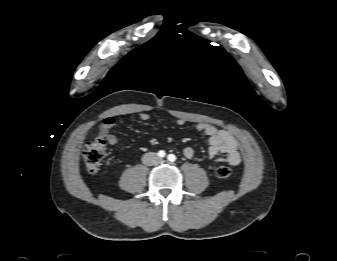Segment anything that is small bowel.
Segmentation results:
<instances>
[{"label":"small bowel","instance_id":"obj_1","mask_svg":"<svg viewBox=\"0 0 337 261\" xmlns=\"http://www.w3.org/2000/svg\"><path fill=\"white\" fill-rule=\"evenodd\" d=\"M139 119L149 121L150 115L148 113H140ZM184 123L185 121L182 119L177 121L178 125H183ZM114 125L115 118L107 116L102 120L99 127V136L110 145H116L118 143V138L111 133V129ZM196 129L207 136L209 144L208 155L214 159L215 162L225 161L231 166H237L241 162L237 141L229 131L203 122L198 123ZM183 154L186 158H192L194 156V149L187 146L183 149ZM220 154H224L225 157H219Z\"/></svg>","mask_w":337,"mask_h":261}]
</instances>
